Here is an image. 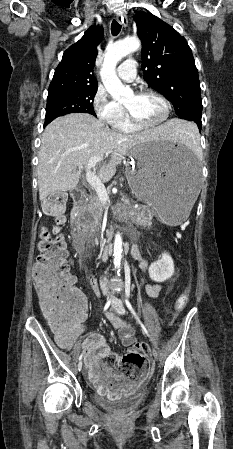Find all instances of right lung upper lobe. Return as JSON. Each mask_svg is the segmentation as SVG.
Here are the masks:
<instances>
[{"label":"right lung upper lobe","mask_w":233,"mask_h":449,"mask_svg":"<svg viewBox=\"0 0 233 449\" xmlns=\"http://www.w3.org/2000/svg\"><path fill=\"white\" fill-rule=\"evenodd\" d=\"M103 34L102 28L90 27L78 42L64 52L50 83L48 94L63 90L98 88L93 67L97 46Z\"/></svg>","instance_id":"right-lung-upper-lobe-1"}]
</instances>
